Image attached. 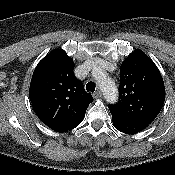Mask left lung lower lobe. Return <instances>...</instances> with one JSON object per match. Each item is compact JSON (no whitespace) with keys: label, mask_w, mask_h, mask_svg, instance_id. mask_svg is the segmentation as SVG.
Wrapping results in <instances>:
<instances>
[{"label":"left lung lower lobe","mask_w":175,"mask_h":175,"mask_svg":"<svg viewBox=\"0 0 175 175\" xmlns=\"http://www.w3.org/2000/svg\"><path fill=\"white\" fill-rule=\"evenodd\" d=\"M112 121L116 129L126 134H136L145 129L151 122L129 120L112 115Z\"/></svg>","instance_id":"0a47b994"}]
</instances>
